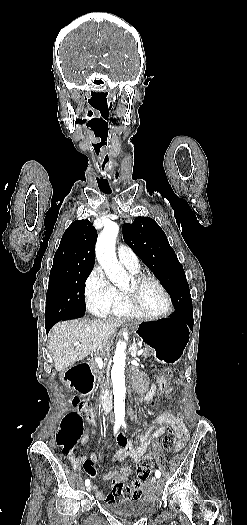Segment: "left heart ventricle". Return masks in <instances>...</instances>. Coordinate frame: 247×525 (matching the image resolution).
Masks as SVG:
<instances>
[{"label": "left heart ventricle", "mask_w": 247, "mask_h": 525, "mask_svg": "<svg viewBox=\"0 0 247 525\" xmlns=\"http://www.w3.org/2000/svg\"><path fill=\"white\" fill-rule=\"evenodd\" d=\"M122 289L136 292L142 304L150 311H158L165 307L166 298L164 293L151 280L146 279L135 286L130 278Z\"/></svg>", "instance_id": "left-heart-ventricle-1"}]
</instances>
